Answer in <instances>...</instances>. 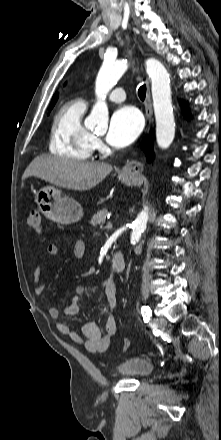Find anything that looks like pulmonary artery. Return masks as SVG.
Returning a JSON list of instances; mask_svg holds the SVG:
<instances>
[{"instance_id":"pulmonary-artery-1","label":"pulmonary artery","mask_w":221,"mask_h":440,"mask_svg":"<svg viewBox=\"0 0 221 440\" xmlns=\"http://www.w3.org/2000/svg\"><path fill=\"white\" fill-rule=\"evenodd\" d=\"M108 99L112 102H123L126 99V93L123 88L114 89L108 96Z\"/></svg>"}]
</instances>
